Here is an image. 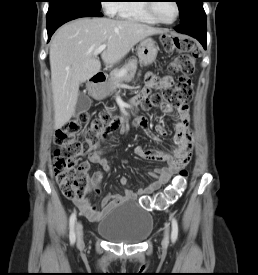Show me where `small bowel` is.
<instances>
[{
	"label": "small bowel",
	"mask_w": 258,
	"mask_h": 275,
	"mask_svg": "<svg viewBox=\"0 0 258 275\" xmlns=\"http://www.w3.org/2000/svg\"><path fill=\"white\" fill-rule=\"evenodd\" d=\"M173 85V78L171 76H164L158 79L154 74L148 73L146 76V86L142 89L139 98H146L149 92L153 88L160 86L163 89L169 88ZM171 111V110H170ZM169 112V111H168ZM175 120V133L172 136V141L175 144V148L172 153H166L161 149H149L140 145L134 147V154L142 159L162 161L166 165L156 168L150 173L154 180L144 187H139L136 190L128 189V179L126 177L120 178V184L124 187L122 194H108L101 200V207L97 209L87 199L74 200V203L80 210V213L91 221H97L101 219L106 213L113 208L122 205L124 203H130L135 201L139 196L148 195L162 186H164L172 176L183 167L190 159L193 140L189 129L190 115L188 103L182 104L177 111L173 114ZM134 124L142 128L147 135L154 141H159L158 135H165L166 129L162 124H156L152 126L151 123L144 119H137ZM121 131L125 128L122 126ZM90 164L98 165L101 170L96 171L92 175V185L96 191H100L101 182L104 174L109 173L112 169L110 160L103 155L102 151L91 150L88 155Z\"/></svg>",
	"instance_id": "1"
}]
</instances>
